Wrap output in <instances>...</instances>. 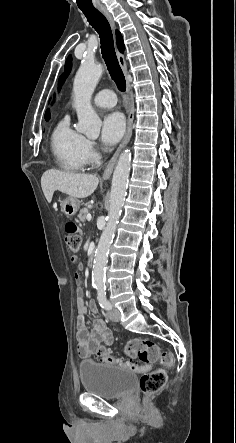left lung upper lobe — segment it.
Here are the masks:
<instances>
[{
  "instance_id": "5c2ea615",
  "label": "left lung upper lobe",
  "mask_w": 236,
  "mask_h": 443,
  "mask_svg": "<svg viewBox=\"0 0 236 443\" xmlns=\"http://www.w3.org/2000/svg\"><path fill=\"white\" fill-rule=\"evenodd\" d=\"M71 67H72V58H71V55H69L66 60V63H65L64 74H62L59 78V85H58L59 89L62 86L65 78L69 75V73L71 71Z\"/></svg>"
}]
</instances>
